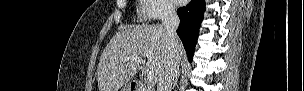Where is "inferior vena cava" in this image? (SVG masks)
Wrapping results in <instances>:
<instances>
[{
    "label": "inferior vena cava",
    "instance_id": "obj_1",
    "mask_svg": "<svg viewBox=\"0 0 304 91\" xmlns=\"http://www.w3.org/2000/svg\"><path fill=\"white\" fill-rule=\"evenodd\" d=\"M180 20L173 5H166L163 9L162 25L165 29L169 62L158 80L157 91H171L174 80L179 72L180 39L176 33Z\"/></svg>",
    "mask_w": 304,
    "mask_h": 91
}]
</instances>
